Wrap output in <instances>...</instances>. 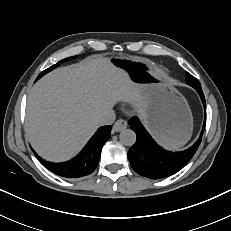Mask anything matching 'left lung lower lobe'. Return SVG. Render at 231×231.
<instances>
[{"mask_svg":"<svg viewBox=\"0 0 231 231\" xmlns=\"http://www.w3.org/2000/svg\"><path fill=\"white\" fill-rule=\"evenodd\" d=\"M197 92L205 105L202 90L197 89ZM128 123L137 135L135 144L128 152L131 167L139 175L150 179H160L175 174L191 160L200 145L205 129L206 116L197 142L189 149L175 153L161 148L145 130L137 117L131 118Z\"/></svg>","mask_w":231,"mask_h":231,"instance_id":"obj_1","label":"left lung lower lobe"}]
</instances>
